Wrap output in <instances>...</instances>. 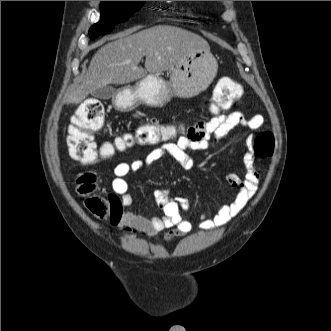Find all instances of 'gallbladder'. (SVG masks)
I'll use <instances>...</instances> for the list:
<instances>
[{
  "mask_svg": "<svg viewBox=\"0 0 331 331\" xmlns=\"http://www.w3.org/2000/svg\"><path fill=\"white\" fill-rule=\"evenodd\" d=\"M115 94V88L110 85L100 87L92 92V96L101 100H108Z\"/></svg>",
  "mask_w": 331,
  "mask_h": 331,
  "instance_id": "1",
  "label": "gallbladder"
}]
</instances>
